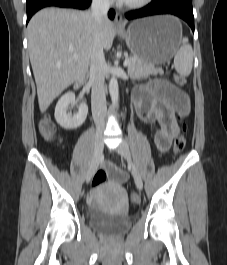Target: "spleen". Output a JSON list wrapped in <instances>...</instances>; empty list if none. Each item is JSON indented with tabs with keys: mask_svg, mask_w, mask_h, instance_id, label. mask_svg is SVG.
Wrapping results in <instances>:
<instances>
[{
	"mask_svg": "<svg viewBox=\"0 0 227 265\" xmlns=\"http://www.w3.org/2000/svg\"><path fill=\"white\" fill-rule=\"evenodd\" d=\"M181 47L178 49L174 57V66L176 71L182 76H188L193 66V50L188 43V38L181 40Z\"/></svg>",
	"mask_w": 227,
	"mask_h": 265,
	"instance_id": "obj_1",
	"label": "spleen"
}]
</instances>
